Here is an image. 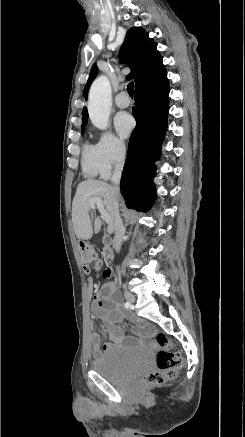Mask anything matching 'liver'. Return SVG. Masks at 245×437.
<instances>
[{
  "instance_id": "obj_1",
  "label": "liver",
  "mask_w": 245,
  "mask_h": 437,
  "mask_svg": "<svg viewBox=\"0 0 245 437\" xmlns=\"http://www.w3.org/2000/svg\"><path fill=\"white\" fill-rule=\"evenodd\" d=\"M94 197L102 199L106 212L109 214L108 232L115 230L114 198L119 199V192L116 194L113 186L98 180H86L81 182L72 203V222L75 234L78 239L88 240L94 233L101 229L102 222L99 217L95 218L94 229L90 219V200Z\"/></svg>"
}]
</instances>
